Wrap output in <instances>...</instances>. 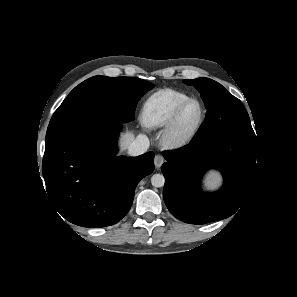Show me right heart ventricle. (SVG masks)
Masks as SVG:
<instances>
[{
	"instance_id": "obj_1",
	"label": "right heart ventricle",
	"mask_w": 297,
	"mask_h": 297,
	"mask_svg": "<svg viewBox=\"0 0 297 297\" xmlns=\"http://www.w3.org/2000/svg\"><path fill=\"white\" fill-rule=\"evenodd\" d=\"M189 98L185 93L173 89L157 91L143 105L141 111L142 123L151 128L165 126L176 108Z\"/></svg>"
}]
</instances>
